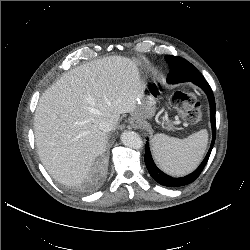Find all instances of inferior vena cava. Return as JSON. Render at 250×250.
I'll return each mask as SVG.
<instances>
[{"mask_svg":"<svg viewBox=\"0 0 250 250\" xmlns=\"http://www.w3.org/2000/svg\"><path fill=\"white\" fill-rule=\"evenodd\" d=\"M99 129L103 132H109L112 130V123L110 121H102L99 124Z\"/></svg>","mask_w":250,"mask_h":250,"instance_id":"602c4592","label":"inferior vena cava"}]
</instances>
